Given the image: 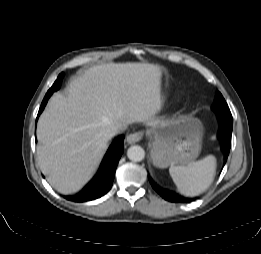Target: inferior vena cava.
Returning <instances> with one entry per match:
<instances>
[{"label": "inferior vena cava", "instance_id": "1", "mask_svg": "<svg viewBox=\"0 0 261 254\" xmlns=\"http://www.w3.org/2000/svg\"><path fill=\"white\" fill-rule=\"evenodd\" d=\"M123 130V128L121 126H113L109 131H108V138H112L113 136H115L116 134H118L119 132H121Z\"/></svg>", "mask_w": 261, "mask_h": 254}]
</instances>
